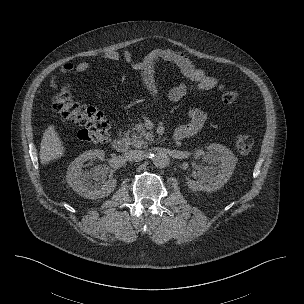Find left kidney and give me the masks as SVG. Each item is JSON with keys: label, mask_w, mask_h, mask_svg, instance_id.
<instances>
[{"label": "left kidney", "mask_w": 304, "mask_h": 304, "mask_svg": "<svg viewBox=\"0 0 304 304\" xmlns=\"http://www.w3.org/2000/svg\"><path fill=\"white\" fill-rule=\"evenodd\" d=\"M206 160L217 164L220 169L215 175V171L210 167L199 168L197 171L199 179L187 181L188 187L193 191L212 192L223 187L235 169L237 158L225 146L213 143L208 146Z\"/></svg>", "instance_id": "5707ae66"}]
</instances>
